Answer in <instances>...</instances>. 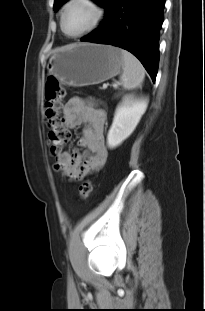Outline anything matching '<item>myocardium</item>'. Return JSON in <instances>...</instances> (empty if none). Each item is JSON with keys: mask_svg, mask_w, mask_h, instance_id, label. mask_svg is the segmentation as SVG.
I'll list each match as a JSON object with an SVG mask.
<instances>
[{"mask_svg": "<svg viewBox=\"0 0 205 311\" xmlns=\"http://www.w3.org/2000/svg\"><path fill=\"white\" fill-rule=\"evenodd\" d=\"M74 3H85L88 6H90L94 11H95V18L91 25L86 28L84 31L78 33V34H68L65 30L64 27V21H65V16L67 13L68 8L74 4ZM105 16V9L103 6L97 1V0H68L65 5L63 6L62 12H61V19H60V27L62 32L69 38H80L92 31H94L103 21Z\"/></svg>", "mask_w": 205, "mask_h": 311, "instance_id": "1", "label": "myocardium"}]
</instances>
